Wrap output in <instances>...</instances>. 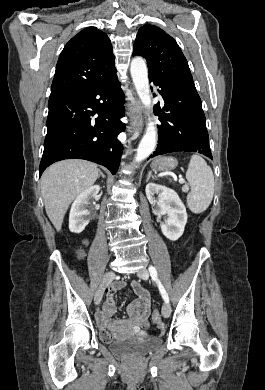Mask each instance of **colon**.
<instances>
[{"label": "colon", "mask_w": 265, "mask_h": 390, "mask_svg": "<svg viewBox=\"0 0 265 390\" xmlns=\"http://www.w3.org/2000/svg\"><path fill=\"white\" fill-rule=\"evenodd\" d=\"M152 319L157 326L161 325V315L158 310H154L152 313Z\"/></svg>", "instance_id": "colon-1"}]
</instances>
